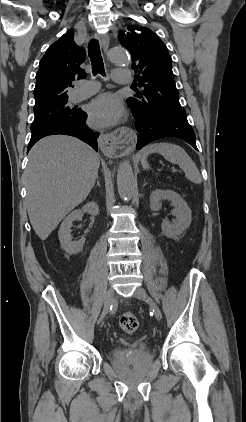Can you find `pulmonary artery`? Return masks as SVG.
<instances>
[{
  "label": "pulmonary artery",
  "mask_w": 246,
  "mask_h": 422,
  "mask_svg": "<svg viewBox=\"0 0 246 422\" xmlns=\"http://www.w3.org/2000/svg\"><path fill=\"white\" fill-rule=\"evenodd\" d=\"M113 79L116 83L119 84H129L132 82L133 77L128 70L125 69H116L113 72ZM99 89V85L95 81H83L79 83L78 88L72 93L71 101L72 102H79L82 101L94 93H96Z\"/></svg>",
  "instance_id": "e3ab8cb5"
}]
</instances>
